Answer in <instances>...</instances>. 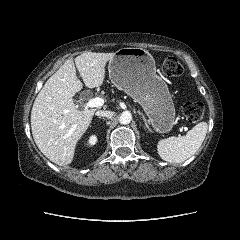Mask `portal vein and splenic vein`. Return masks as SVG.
<instances>
[{"instance_id": "1", "label": "portal vein and splenic vein", "mask_w": 240, "mask_h": 240, "mask_svg": "<svg viewBox=\"0 0 240 240\" xmlns=\"http://www.w3.org/2000/svg\"><path fill=\"white\" fill-rule=\"evenodd\" d=\"M104 104V100L100 97L90 99L85 105V108H95L100 107ZM188 128L185 126L180 127V132H187Z\"/></svg>"}]
</instances>
